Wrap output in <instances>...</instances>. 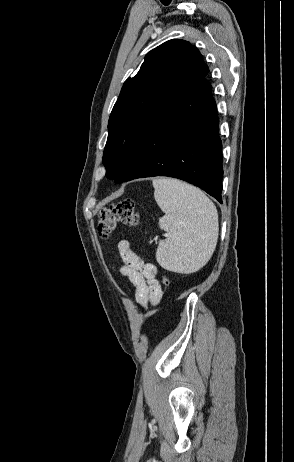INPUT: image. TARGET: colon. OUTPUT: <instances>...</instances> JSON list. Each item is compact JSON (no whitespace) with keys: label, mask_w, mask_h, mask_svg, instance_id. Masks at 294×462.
<instances>
[{"label":"colon","mask_w":294,"mask_h":462,"mask_svg":"<svg viewBox=\"0 0 294 462\" xmlns=\"http://www.w3.org/2000/svg\"><path fill=\"white\" fill-rule=\"evenodd\" d=\"M139 216L136 206L131 199H124L99 211L98 233L102 238H108L119 226L133 227L138 224ZM165 285L169 284L167 278Z\"/></svg>","instance_id":"colon-1"}]
</instances>
